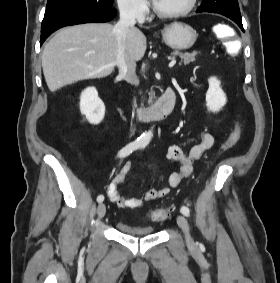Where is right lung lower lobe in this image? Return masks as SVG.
<instances>
[{
	"mask_svg": "<svg viewBox=\"0 0 280 283\" xmlns=\"http://www.w3.org/2000/svg\"><path fill=\"white\" fill-rule=\"evenodd\" d=\"M115 16V8L106 11L69 9L46 14L41 25L40 42L42 44L51 33L62 27L84 23H104Z\"/></svg>",
	"mask_w": 280,
	"mask_h": 283,
	"instance_id": "1",
	"label": "right lung lower lobe"
}]
</instances>
